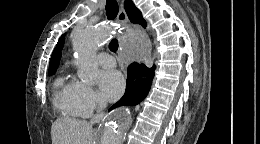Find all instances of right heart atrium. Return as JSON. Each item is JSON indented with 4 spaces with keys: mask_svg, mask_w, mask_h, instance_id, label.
<instances>
[{
    "mask_svg": "<svg viewBox=\"0 0 260 144\" xmlns=\"http://www.w3.org/2000/svg\"><path fill=\"white\" fill-rule=\"evenodd\" d=\"M74 95L76 104L83 116H89L103 106V102L96 91L85 83L74 82Z\"/></svg>",
    "mask_w": 260,
    "mask_h": 144,
    "instance_id": "obj_1",
    "label": "right heart atrium"
}]
</instances>
